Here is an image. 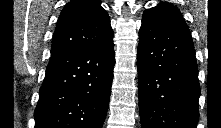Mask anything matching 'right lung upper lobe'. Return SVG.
I'll return each instance as SVG.
<instances>
[{"label": "right lung upper lobe", "instance_id": "1", "mask_svg": "<svg viewBox=\"0 0 221 128\" xmlns=\"http://www.w3.org/2000/svg\"><path fill=\"white\" fill-rule=\"evenodd\" d=\"M112 38L110 18L100 0H72L58 18L51 54L103 47Z\"/></svg>", "mask_w": 221, "mask_h": 128}]
</instances>
